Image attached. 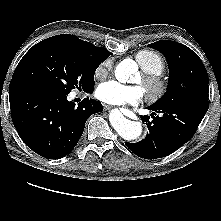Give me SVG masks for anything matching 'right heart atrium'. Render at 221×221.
<instances>
[{"label":"right heart atrium","instance_id":"obj_1","mask_svg":"<svg viewBox=\"0 0 221 221\" xmlns=\"http://www.w3.org/2000/svg\"><path fill=\"white\" fill-rule=\"evenodd\" d=\"M112 69V60L103 61L96 69L95 75L98 78L106 77Z\"/></svg>","mask_w":221,"mask_h":221}]
</instances>
